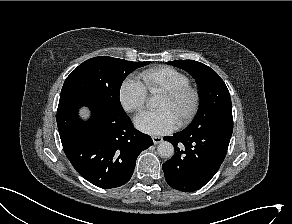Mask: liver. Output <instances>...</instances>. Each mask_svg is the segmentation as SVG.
<instances>
[{
	"instance_id": "1",
	"label": "liver",
	"mask_w": 292,
	"mask_h": 224,
	"mask_svg": "<svg viewBox=\"0 0 292 224\" xmlns=\"http://www.w3.org/2000/svg\"><path fill=\"white\" fill-rule=\"evenodd\" d=\"M85 113H86V112H85L84 110L81 112V114L84 115V116H85Z\"/></svg>"
}]
</instances>
